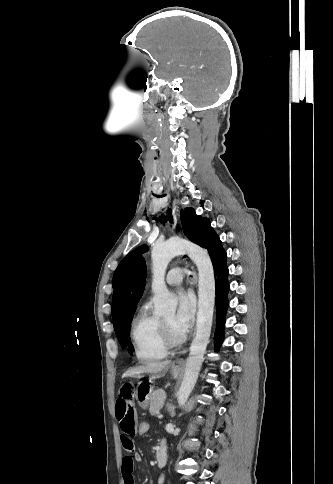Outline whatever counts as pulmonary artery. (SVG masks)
<instances>
[{"label": "pulmonary artery", "instance_id": "pulmonary-artery-1", "mask_svg": "<svg viewBox=\"0 0 333 484\" xmlns=\"http://www.w3.org/2000/svg\"><path fill=\"white\" fill-rule=\"evenodd\" d=\"M183 270L180 267L171 269L166 275V283L168 285H178L182 282Z\"/></svg>", "mask_w": 333, "mask_h": 484}]
</instances>
